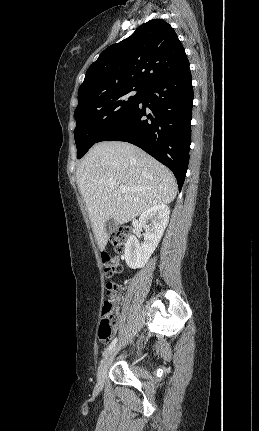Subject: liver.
<instances>
[{"instance_id": "obj_1", "label": "liver", "mask_w": 259, "mask_h": 431, "mask_svg": "<svg viewBox=\"0 0 259 431\" xmlns=\"http://www.w3.org/2000/svg\"><path fill=\"white\" fill-rule=\"evenodd\" d=\"M98 246L103 251L109 234L105 223L113 218L125 224L147 209L171 203L177 194L173 173L139 147L121 141L95 144L76 171ZM130 188L127 193L120 186Z\"/></svg>"}]
</instances>
